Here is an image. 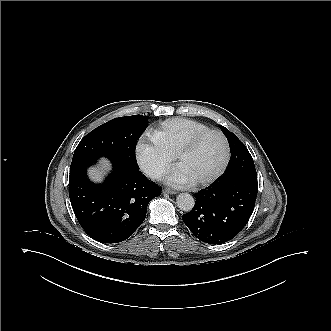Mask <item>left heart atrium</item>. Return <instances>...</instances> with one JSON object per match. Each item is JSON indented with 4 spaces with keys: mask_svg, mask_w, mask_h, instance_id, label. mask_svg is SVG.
Wrapping results in <instances>:
<instances>
[{
    "mask_svg": "<svg viewBox=\"0 0 331 331\" xmlns=\"http://www.w3.org/2000/svg\"><path fill=\"white\" fill-rule=\"evenodd\" d=\"M166 184L175 188H186L193 184L194 180L181 168L176 167L165 177Z\"/></svg>",
    "mask_w": 331,
    "mask_h": 331,
    "instance_id": "left-heart-atrium-1",
    "label": "left heart atrium"
}]
</instances>
